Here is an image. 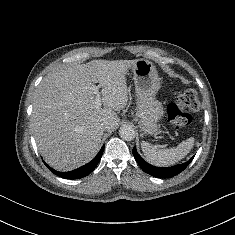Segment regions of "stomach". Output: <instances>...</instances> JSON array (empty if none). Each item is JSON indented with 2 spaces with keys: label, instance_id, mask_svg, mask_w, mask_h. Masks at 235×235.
<instances>
[{
  "label": "stomach",
  "instance_id": "0dacf381",
  "mask_svg": "<svg viewBox=\"0 0 235 235\" xmlns=\"http://www.w3.org/2000/svg\"><path fill=\"white\" fill-rule=\"evenodd\" d=\"M135 91L139 126L145 134L158 131V121L164 114L161 102L156 99L160 89V79L155 66L148 60L139 59L131 66Z\"/></svg>",
  "mask_w": 235,
  "mask_h": 235
}]
</instances>
